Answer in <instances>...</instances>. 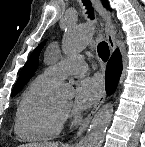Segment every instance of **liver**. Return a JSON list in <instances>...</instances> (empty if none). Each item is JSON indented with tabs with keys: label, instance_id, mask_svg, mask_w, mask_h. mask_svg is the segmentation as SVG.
I'll return each instance as SVG.
<instances>
[{
	"label": "liver",
	"instance_id": "6515ba94",
	"mask_svg": "<svg viewBox=\"0 0 145 147\" xmlns=\"http://www.w3.org/2000/svg\"><path fill=\"white\" fill-rule=\"evenodd\" d=\"M19 147H59L57 142H44V143H31V144H23Z\"/></svg>",
	"mask_w": 145,
	"mask_h": 147
}]
</instances>
